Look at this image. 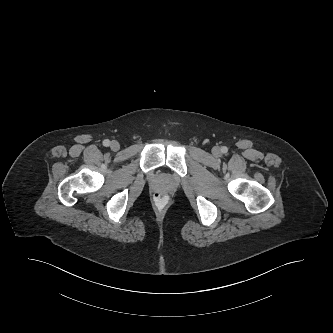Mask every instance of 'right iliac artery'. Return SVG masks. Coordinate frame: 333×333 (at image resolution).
<instances>
[{
    "mask_svg": "<svg viewBox=\"0 0 333 333\" xmlns=\"http://www.w3.org/2000/svg\"><path fill=\"white\" fill-rule=\"evenodd\" d=\"M103 145H104L105 147L109 146V145H110V141H109L108 139H105V140L103 141Z\"/></svg>",
    "mask_w": 333,
    "mask_h": 333,
    "instance_id": "right-iliac-artery-1",
    "label": "right iliac artery"
}]
</instances>
